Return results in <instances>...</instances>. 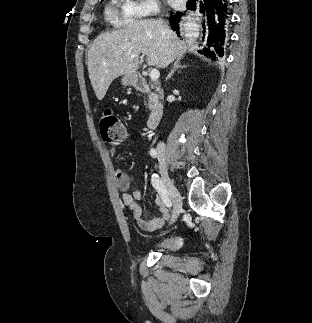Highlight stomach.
<instances>
[{"label": "stomach", "mask_w": 312, "mask_h": 323, "mask_svg": "<svg viewBox=\"0 0 312 323\" xmlns=\"http://www.w3.org/2000/svg\"><path fill=\"white\" fill-rule=\"evenodd\" d=\"M138 80L137 74H124L122 78L123 86H133Z\"/></svg>", "instance_id": "0dacf381"}]
</instances>
